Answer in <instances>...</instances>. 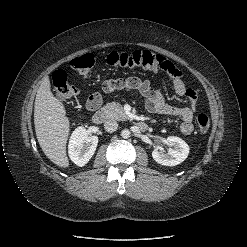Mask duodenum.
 <instances>
[{
  "label": "duodenum",
  "instance_id": "1",
  "mask_svg": "<svg viewBox=\"0 0 247 247\" xmlns=\"http://www.w3.org/2000/svg\"><path fill=\"white\" fill-rule=\"evenodd\" d=\"M106 119V113L103 109H98L96 110L93 115H92V121L95 124H101L105 121ZM137 126L141 129V130H146L147 129V124L144 121H139L137 123Z\"/></svg>",
  "mask_w": 247,
  "mask_h": 247
}]
</instances>
